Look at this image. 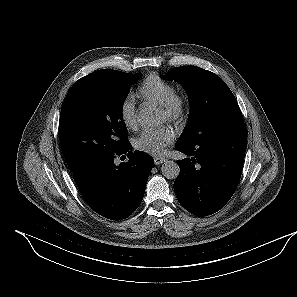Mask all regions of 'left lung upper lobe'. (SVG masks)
Instances as JSON below:
<instances>
[{"label": "left lung upper lobe", "instance_id": "1", "mask_svg": "<svg viewBox=\"0 0 297 297\" xmlns=\"http://www.w3.org/2000/svg\"><path fill=\"white\" fill-rule=\"evenodd\" d=\"M161 78L174 79L188 92L189 122L177 143L196 145L214 133L244 124L234 95L216 74L196 66H181Z\"/></svg>", "mask_w": 297, "mask_h": 297}]
</instances>
